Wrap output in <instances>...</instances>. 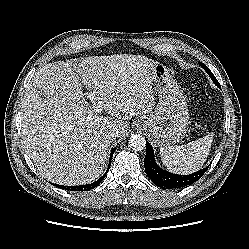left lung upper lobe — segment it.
Here are the masks:
<instances>
[{"label": "left lung upper lobe", "mask_w": 249, "mask_h": 249, "mask_svg": "<svg viewBox=\"0 0 249 249\" xmlns=\"http://www.w3.org/2000/svg\"><path fill=\"white\" fill-rule=\"evenodd\" d=\"M199 65L208 73V75L210 76V78L212 79V81L215 83V85L217 87H220L219 82L217 81V79L215 78V76L213 75V73L210 71V69L204 65L203 63H199Z\"/></svg>", "instance_id": "left-lung-upper-lobe-1"}]
</instances>
